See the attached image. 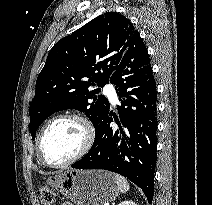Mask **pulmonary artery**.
Masks as SVG:
<instances>
[{"mask_svg":"<svg viewBox=\"0 0 212 205\" xmlns=\"http://www.w3.org/2000/svg\"><path fill=\"white\" fill-rule=\"evenodd\" d=\"M103 91L114 104L117 102V94L113 85L111 84L105 85Z\"/></svg>","mask_w":212,"mask_h":205,"instance_id":"1","label":"pulmonary artery"}]
</instances>
